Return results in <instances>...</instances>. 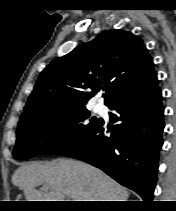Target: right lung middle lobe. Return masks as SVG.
<instances>
[{
  "instance_id": "dd1d6c3e",
  "label": "right lung middle lobe",
  "mask_w": 176,
  "mask_h": 211,
  "mask_svg": "<svg viewBox=\"0 0 176 211\" xmlns=\"http://www.w3.org/2000/svg\"><path fill=\"white\" fill-rule=\"evenodd\" d=\"M101 119L92 117L86 106L51 109L20 119L13 156L31 158L58 153L78 144Z\"/></svg>"
}]
</instances>
